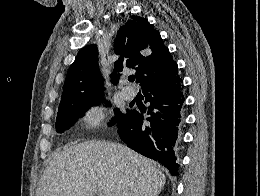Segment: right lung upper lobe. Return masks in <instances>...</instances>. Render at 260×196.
Returning a JSON list of instances; mask_svg holds the SVG:
<instances>
[{
  "mask_svg": "<svg viewBox=\"0 0 260 196\" xmlns=\"http://www.w3.org/2000/svg\"><path fill=\"white\" fill-rule=\"evenodd\" d=\"M131 18L120 27L114 41L118 59L114 63L111 82L118 84L121 72L129 68L137 71L136 82L142 88L171 75L177 69V63L164 46L160 34L146 19ZM103 86L97 46L91 44L78 53L68 70L58 111L81 98L103 93Z\"/></svg>",
  "mask_w": 260,
  "mask_h": 196,
  "instance_id": "obj_1",
  "label": "right lung upper lobe"
}]
</instances>
